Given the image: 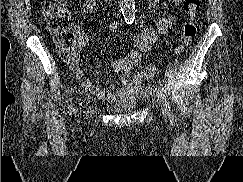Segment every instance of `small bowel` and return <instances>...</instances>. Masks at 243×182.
Returning <instances> with one entry per match:
<instances>
[{
  "instance_id": "small-bowel-1",
  "label": "small bowel",
  "mask_w": 243,
  "mask_h": 182,
  "mask_svg": "<svg viewBox=\"0 0 243 182\" xmlns=\"http://www.w3.org/2000/svg\"><path fill=\"white\" fill-rule=\"evenodd\" d=\"M172 5H179L182 0H168ZM161 0H151V7H155ZM96 7V0H86L82 5L84 12H90ZM174 18L171 14L165 15L158 21L157 30L151 27H144L141 32L133 38L132 48L127 50L119 59L111 63V68L115 73L122 75L121 87L113 91L100 88L92 79L85 78L83 70L79 67L76 58L67 60V64L75 78L80 82L82 88L94 94L98 99L106 102H115L119 98L137 95L141 90V78L131 77L133 67L138 66L142 61L143 53L148 52L156 42L159 35H166L173 27ZM120 26L119 22L109 25L110 32L115 31ZM90 45L89 38L80 34L77 50L88 52Z\"/></svg>"
}]
</instances>
